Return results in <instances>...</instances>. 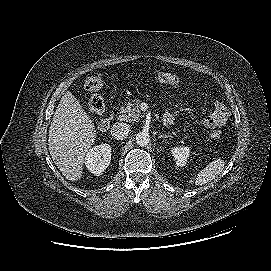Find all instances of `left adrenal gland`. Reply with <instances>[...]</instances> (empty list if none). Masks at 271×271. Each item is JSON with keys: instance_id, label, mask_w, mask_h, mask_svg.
Listing matches in <instances>:
<instances>
[{"instance_id": "1", "label": "left adrenal gland", "mask_w": 271, "mask_h": 271, "mask_svg": "<svg viewBox=\"0 0 271 271\" xmlns=\"http://www.w3.org/2000/svg\"><path fill=\"white\" fill-rule=\"evenodd\" d=\"M158 138H159V139H160V138L166 139V138H171V136H170V135L163 134V135H159Z\"/></svg>"}]
</instances>
